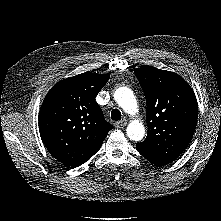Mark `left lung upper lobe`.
Segmentation results:
<instances>
[{
	"mask_svg": "<svg viewBox=\"0 0 221 221\" xmlns=\"http://www.w3.org/2000/svg\"><path fill=\"white\" fill-rule=\"evenodd\" d=\"M134 73L146 98V139L137 151L155 165L173 162L186 149L195 132L198 105L190 85L176 73L150 66Z\"/></svg>",
	"mask_w": 221,
	"mask_h": 221,
	"instance_id": "obj_1",
	"label": "left lung upper lobe"
}]
</instances>
